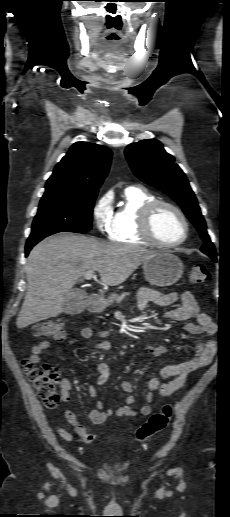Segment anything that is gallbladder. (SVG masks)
Segmentation results:
<instances>
[{
	"label": "gallbladder",
	"instance_id": "obj_1",
	"mask_svg": "<svg viewBox=\"0 0 230 517\" xmlns=\"http://www.w3.org/2000/svg\"><path fill=\"white\" fill-rule=\"evenodd\" d=\"M87 293L82 290H72L65 296L63 311L67 314H78L82 312L87 303Z\"/></svg>",
	"mask_w": 230,
	"mask_h": 517
}]
</instances>
